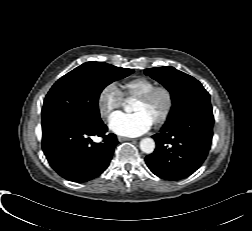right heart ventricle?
I'll return each instance as SVG.
<instances>
[{
  "label": "right heart ventricle",
  "instance_id": "obj_1",
  "mask_svg": "<svg viewBox=\"0 0 252 231\" xmlns=\"http://www.w3.org/2000/svg\"><path fill=\"white\" fill-rule=\"evenodd\" d=\"M155 86L156 83L152 79L144 76H137L123 82L121 93L127 97H138Z\"/></svg>",
  "mask_w": 252,
  "mask_h": 231
}]
</instances>
